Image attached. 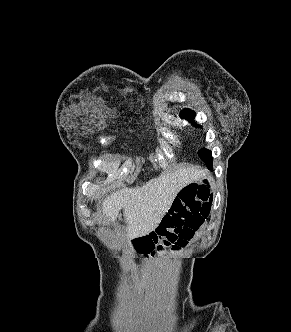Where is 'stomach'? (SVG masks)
<instances>
[{"mask_svg":"<svg viewBox=\"0 0 291 332\" xmlns=\"http://www.w3.org/2000/svg\"><path fill=\"white\" fill-rule=\"evenodd\" d=\"M197 184L198 186H204L206 188H210L212 187L213 182L210 176L205 175L203 178L200 179V181Z\"/></svg>","mask_w":291,"mask_h":332,"instance_id":"1","label":"stomach"}]
</instances>
